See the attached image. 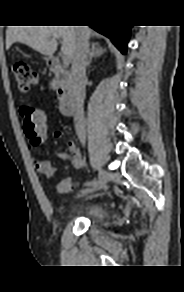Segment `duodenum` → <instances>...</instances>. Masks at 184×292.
Masks as SVG:
<instances>
[{
  "mask_svg": "<svg viewBox=\"0 0 184 292\" xmlns=\"http://www.w3.org/2000/svg\"><path fill=\"white\" fill-rule=\"evenodd\" d=\"M49 70L55 74L57 94L60 98L61 112L65 116H71L77 106V91L71 83L72 77L69 71L62 68L57 58H50L48 61Z\"/></svg>",
  "mask_w": 184,
  "mask_h": 292,
  "instance_id": "duodenum-1",
  "label": "duodenum"
}]
</instances>
